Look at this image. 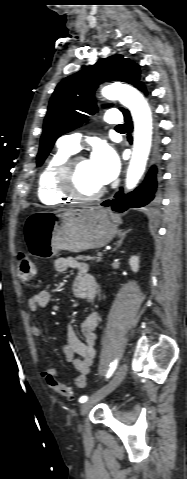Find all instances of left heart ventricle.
Returning a JSON list of instances; mask_svg holds the SVG:
<instances>
[{
  "label": "left heart ventricle",
  "mask_w": 187,
  "mask_h": 479,
  "mask_svg": "<svg viewBox=\"0 0 187 479\" xmlns=\"http://www.w3.org/2000/svg\"><path fill=\"white\" fill-rule=\"evenodd\" d=\"M76 185L78 190L85 195H91L103 187L97 180L90 160L87 158L82 159L78 164Z\"/></svg>",
  "instance_id": "obj_1"
}]
</instances>
